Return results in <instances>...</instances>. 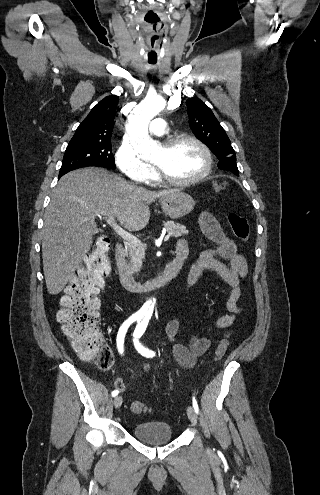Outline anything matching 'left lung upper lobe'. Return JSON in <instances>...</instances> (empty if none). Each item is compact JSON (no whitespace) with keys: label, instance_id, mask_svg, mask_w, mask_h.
Returning a JSON list of instances; mask_svg holds the SVG:
<instances>
[{"label":"left lung upper lobe","instance_id":"obj_1","mask_svg":"<svg viewBox=\"0 0 320 495\" xmlns=\"http://www.w3.org/2000/svg\"><path fill=\"white\" fill-rule=\"evenodd\" d=\"M186 105L191 129L217 156L219 169L238 175L235 151L212 110L196 97L189 98Z\"/></svg>","mask_w":320,"mask_h":495}]
</instances>
